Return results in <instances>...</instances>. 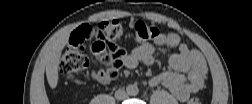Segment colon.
<instances>
[{
    "label": "colon",
    "mask_w": 252,
    "mask_h": 104,
    "mask_svg": "<svg viewBox=\"0 0 252 104\" xmlns=\"http://www.w3.org/2000/svg\"><path fill=\"white\" fill-rule=\"evenodd\" d=\"M128 32L136 43L154 42L162 35L157 27L142 20H134L128 27L119 20L105 21L96 26L82 24L72 33L69 44L62 52L59 63L60 73L69 80L84 73L88 66V59L83 49L88 40H94V53L105 66L108 77L115 79L122 65L124 56L122 43ZM191 103H200V98L192 97Z\"/></svg>",
    "instance_id": "colon-1"
}]
</instances>
